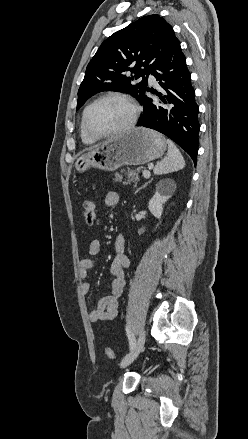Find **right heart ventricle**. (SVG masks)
<instances>
[{"label": "right heart ventricle", "mask_w": 248, "mask_h": 439, "mask_svg": "<svg viewBox=\"0 0 248 439\" xmlns=\"http://www.w3.org/2000/svg\"><path fill=\"white\" fill-rule=\"evenodd\" d=\"M80 137H81V140L83 141V143H85L87 145L93 144L97 141V139L92 138L84 131L83 126H82V122L80 125Z\"/></svg>", "instance_id": "obj_1"}]
</instances>
